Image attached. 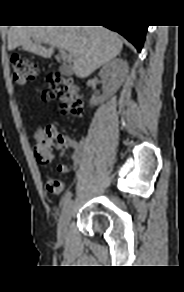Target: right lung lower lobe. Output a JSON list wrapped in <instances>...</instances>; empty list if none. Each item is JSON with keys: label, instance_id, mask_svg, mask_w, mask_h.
Segmentation results:
<instances>
[{"label": "right lung lower lobe", "instance_id": "98d812e1", "mask_svg": "<svg viewBox=\"0 0 184 292\" xmlns=\"http://www.w3.org/2000/svg\"><path fill=\"white\" fill-rule=\"evenodd\" d=\"M107 28L117 31L129 40L140 52L145 40L147 27L145 25L129 26V25H105Z\"/></svg>", "mask_w": 184, "mask_h": 292}]
</instances>
